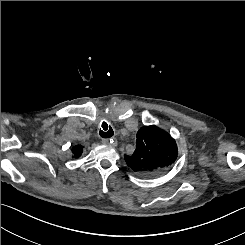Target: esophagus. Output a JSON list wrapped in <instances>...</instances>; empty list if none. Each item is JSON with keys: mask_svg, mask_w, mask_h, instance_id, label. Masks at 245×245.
<instances>
[{"mask_svg": "<svg viewBox=\"0 0 245 245\" xmlns=\"http://www.w3.org/2000/svg\"><path fill=\"white\" fill-rule=\"evenodd\" d=\"M102 144H104V145H109L110 144V142H111V139H107V138H105V139H102Z\"/></svg>", "mask_w": 245, "mask_h": 245, "instance_id": "1", "label": "esophagus"}]
</instances>
